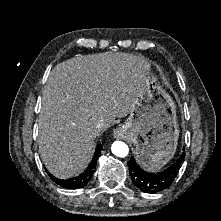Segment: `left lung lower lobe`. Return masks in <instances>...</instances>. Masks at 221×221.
I'll return each instance as SVG.
<instances>
[{"label": "left lung lower lobe", "mask_w": 221, "mask_h": 221, "mask_svg": "<svg viewBox=\"0 0 221 221\" xmlns=\"http://www.w3.org/2000/svg\"><path fill=\"white\" fill-rule=\"evenodd\" d=\"M184 156L182 154L170 167L157 173L142 170L132 157L127 163L133 183L145 193H157L168 188L176 178Z\"/></svg>", "instance_id": "0a47b994"}]
</instances>
